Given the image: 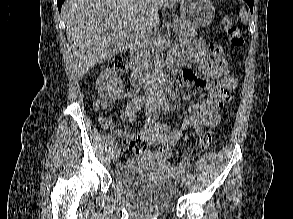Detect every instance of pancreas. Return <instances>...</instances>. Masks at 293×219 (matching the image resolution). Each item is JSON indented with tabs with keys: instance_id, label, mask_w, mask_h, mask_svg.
Returning <instances> with one entry per match:
<instances>
[{
	"instance_id": "pancreas-1",
	"label": "pancreas",
	"mask_w": 293,
	"mask_h": 219,
	"mask_svg": "<svg viewBox=\"0 0 293 219\" xmlns=\"http://www.w3.org/2000/svg\"><path fill=\"white\" fill-rule=\"evenodd\" d=\"M174 30L181 37H195L197 35V32L193 26L180 19H175Z\"/></svg>"
}]
</instances>
